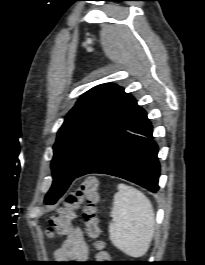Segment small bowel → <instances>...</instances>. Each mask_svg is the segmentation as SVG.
Listing matches in <instances>:
<instances>
[{
    "instance_id": "1",
    "label": "small bowel",
    "mask_w": 205,
    "mask_h": 265,
    "mask_svg": "<svg viewBox=\"0 0 205 265\" xmlns=\"http://www.w3.org/2000/svg\"><path fill=\"white\" fill-rule=\"evenodd\" d=\"M54 258L59 262L72 260L76 263L89 259V246L81 228L76 227L68 233L63 244L55 250Z\"/></svg>"
}]
</instances>
